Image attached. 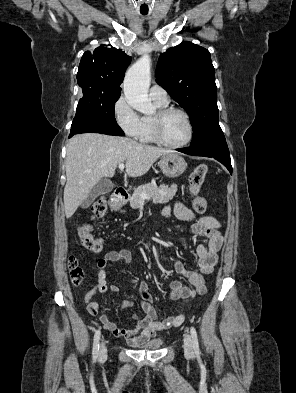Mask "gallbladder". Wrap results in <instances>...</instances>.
Returning a JSON list of instances; mask_svg holds the SVG:
<instances>
[{
	"instance_id": "obj_1",
	"label": "gallbladder",
	"mask_w": 296,
	"mask_h": 393,
	"mask_svg": "<svg viewBox=\"0 0 296 393\" xmlns=\"http://www.w3.org/2000/svg\"><path fill=\"white\" fill-rule=\"evenodd\" d=\"M114 184L107 178H102L89 192L87 198L82 203V208H87L100 195L110 193Z\"/></svg>"
}]
</instances>
